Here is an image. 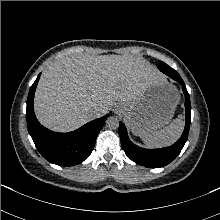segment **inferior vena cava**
<instances>
[{
	"label": "inferior vena cava",
	"mask_w": 220,
	"mask_h": 220,
	"mask_svg": "<svg viewBox=\"0 0 220 220\" xmlns=\"http://www.w3.org/2000/svg\"><path fill=\"white\" fill-rule=\"evenodd\" d=\"M100 108L98 107H92L89 109V113L92 117H96V115L99 113Z\"/></svg>",
	"instance_id": "1"
}]
</instances>
